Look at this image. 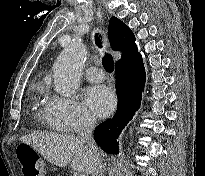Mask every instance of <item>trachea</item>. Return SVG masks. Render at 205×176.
<instances>
[{
    "label": "trachea",
    "instance_id": "trachea-1",
    "mask_svg": "<svg viewBox=\"0 0 205 176\" xmlns=\"http://www.w3.org/2000/svg\"><path fill=\"white\" fill-rule=\"evenodd\" d=\"M95 43L99 48L102 47L101 40L98 37V34L95 35ZM102 64H103L104 68L106 69V71H108V72H113L114 71V62H113V59H112L110 54H105L103 56Z\"/></svg>",
    "mask_w": 205,
    "mask_h": 176
}]
</instances>
